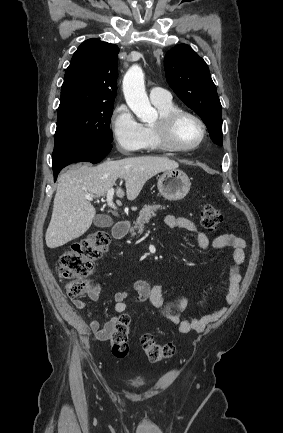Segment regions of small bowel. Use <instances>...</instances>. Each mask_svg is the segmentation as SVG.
Returning <instances> with one entry per match:
<instances>
[{"instance_id":"c3829d8e","label":"small bowel","mask_w":283,"mask_h":433,"mask_svg":"<svg viewBox=\"0 0 283 433\" xmlns=\"http://www.w3.org/2000/svg\"><path fill=\"white\" fill-rule=\"evenodd\" d=\"M165 223L170 228H180L195 233L197 244L201 249H207L209 247L215 249L229 247L233 249V264L229 271V287L224 305L202 317L184 318L182 313L186 311L188 307V300L185 297H181L172 303H166L163 298V286L161 284L150 285L146 281L137 280L132 284L129 290L119 291L114 294L113 301L116 316L112 317L103 326L100 325L99 321L92 318V311H88L87 315L90 318L88 328L96 336L97 340L106 341L110 338L120 314L128 308V299L132 294L134 295L133 300L135 302H149L155 308L162 310L165 317L170 322L177 325L181 333H189L191 331L202 332L210 323L219 320L235 302L241 282V266L245 261V240L239 236L228 233L210 239L204 232L198 229L193 221L184 217L168 215L165 218ZM100 294V285L94 283L88 292L89 298L92 301H97ZM72 303L77 309L86 308V302L80 298L73 299ZM66 315L75 325L83 326V320L74 310L66 309Z\"/></svg>"}]
</instances>
